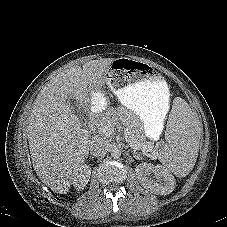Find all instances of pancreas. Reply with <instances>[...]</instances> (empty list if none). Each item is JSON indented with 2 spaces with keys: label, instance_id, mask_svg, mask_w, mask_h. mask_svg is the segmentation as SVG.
Segmentation results:
<instances>
[{
  "label": "pancreas",
  "instance_id": "obj_1",
  "mask_svg": "<svg viewBox=\"0 0 227 227\" xmlns=\"http://www.w3.org/2000/svg\"><path fill=\"white\" fill-rule=\"evenodd\" d=\"M130 119L131 118H128V112L125 110L116 112L113 109H109L101 118L97 126L98 130L107 128V133H99L104 137L110 138L115 131V126L118 124V121L121 120L126 126L125 136L127 138V141L131 145L136 146L138 149L149 151L153 148V145L152 143L145 140V136L142 134V129L139 121L136 119L134 121H130Z\"/></svg>",
  "mask_w": 227,
  "mask_h": 227
}]
</instances>
